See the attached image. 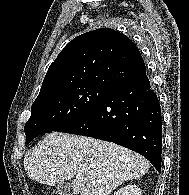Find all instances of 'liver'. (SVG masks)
Listing matches in <instances>:
<instances>
[{"label": "liver", "instance_id": "6515ba94", "mask_svg": "<svg viewBox=\"0 0 189 195\" xmlns=\"http://www.w3.org/2000/svg\"><path fill=\"white\" fill-rule=\"evenodd\" d=\"M30 179L54 186L71 180L74 195H109L123 182L148 172L141 155L112 142L52 132L24 158Z\"/></svg>", "mask_w": 189, "mask_h": 195}]
</instances>
